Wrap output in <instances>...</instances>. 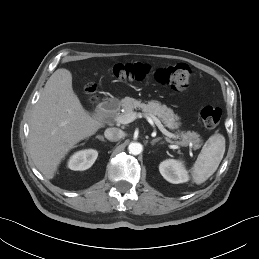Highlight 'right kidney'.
I'll return each instance as SVG.
<instances>
[{"label":"right kidney","instance_id":"1","mask_svg":"<svg viewBox=\"0 0 259 259\" xmlns=\"http://www.w3.org/2000/svg\"><path fill=\"white\" fill-rule=\"evenodd\" d=\"M98 157V152L93 149L82 150L72 155L68 167L74 171H83L90 168Z\"/></svg>","mask_w":259,"mask_h":259}]
</instances>
